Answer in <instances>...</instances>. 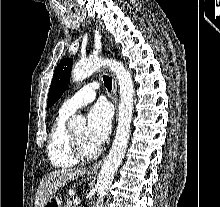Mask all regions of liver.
<instances>
[{"mask_svg": "<svg viewBox=\"0 0 220 207\" xmlns=\"http://www.w3.org/2000/svg\"><path fill=\"white\" fill-rule=\"evenodd\" d=\"M85 172V168H64L52 171L45 175L41 180L36 193L35 207H44L61 186H65L71 180L79 178L85 174Z\"/></svg>", "mask_w": 220, "mask_h": 207, "instance_id": "obj_1", "label": "liver"}]
</instances>
